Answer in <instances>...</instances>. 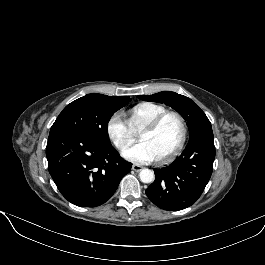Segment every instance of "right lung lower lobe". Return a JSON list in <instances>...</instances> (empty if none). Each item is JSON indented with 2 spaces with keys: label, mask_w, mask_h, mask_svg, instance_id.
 I'll return each instance as SVG.
<instances>
[{
  "label": "right lung lower lobe",
  "mask_w": 265,
  "mask_h": 265,
  "mask_svg": "<svg viewBox=\"0 0 265 265\" xmlns=\"http://www.w3.org/2000/svg\"><path fill=\"white\" fill-rule=\"evenodd\" d=\"M46 156L61 194L81 207H96L110 199L132 166L111 143L74 130L51 133Z\"/></svg>",
  "instance_id": "98d812e1"
}]
</instances>
